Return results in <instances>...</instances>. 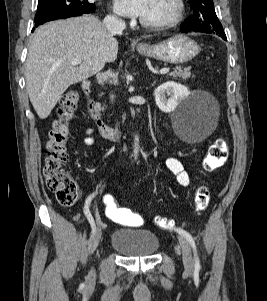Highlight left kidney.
<instances>
[{
    "instance_id": "1",
    "label": "left kidney",
    "mask_w": 267,
    "mask_h": 301,
    "mask_svg": "<svg viewBox=\"0 0 267 301\" xmlns=\"http://www.w3.org/2000/svg\"><path fill=\"white\" fill-rule=\"evenodd\" d=\"M154 95L159 109L169 113L176 108L180 101L189 95V91L184 85L168 81L157 87Z\"/></svg>"
}]
</instances>
